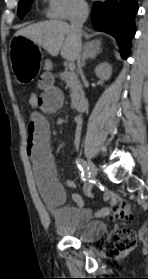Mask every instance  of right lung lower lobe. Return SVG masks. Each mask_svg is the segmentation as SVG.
I'll return each instance as SVG.
<instances>
[{
  "label": "right lung lower lobe",
  "instance_id": "obj_1",
  "mask_svg": "<svg viewBox=\"0 0 148 279\" xmlns=\"http://www.w3.org/2000/svg\"><path fill=\"white\" fill-rule=\"evenodd\" d=\"M137 2L138 0H107L96 2L92 7L91 20L94 28L116 38L122 58H127L136 32L134 19L138 11Z\"/></svg>",
  "mask_w": 148,
  "mask_h": 279
}]
</instances>
